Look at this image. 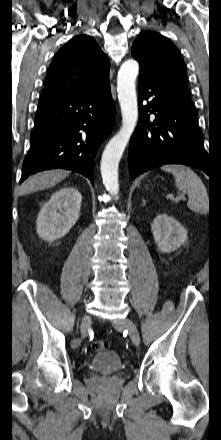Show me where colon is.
<instances>
[{
    "mask_svg": "<svg viewBox=\"0 0 221 440\" xmlns=\"http://www.w3.org/2000/svg\"><path fill=\"white\" fill-rule=\"evenodd\" d=\"M91 347L94 351L101 352L107 349L108 343L105 341L97 340L92 343Z\"/></svg>",
    "mask_w": 221,
    "mask_h": 440,
    "instance_id": "colon-1",
    "label": "colon"
}]
</instances>
